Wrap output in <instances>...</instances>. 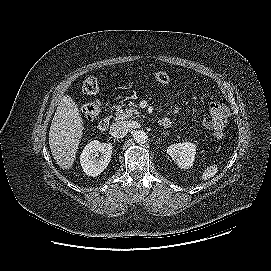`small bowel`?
I'll return each mask as SVG.
<instances>
[{
	"mask_svg": "<svg viewBox=\"0 0 271 271\" xmlns=\"http://www.w3.org/2000/svg\"><path fill=\"white\" fill-rule=\"evenodd\" d=\"M229 117V109L221 103H212L208 115L203 120V126L208 129L221 130Z\"/></svg>",
	"mask_w": 271,
	"mask_h": 271,
	"instance_id": "small-bowel-1",
	"label": "small bowel"
}]
</instances>
